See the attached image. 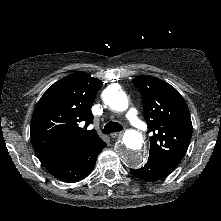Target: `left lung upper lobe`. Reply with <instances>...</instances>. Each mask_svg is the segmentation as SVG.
Returning a JSON list of instances; mask_svg holds the SVG:
<instances>
[{
  "mask_svg": "<svg viewBox=\"0 0 221 221\" xmlns=\"http://www.w3.org/2000/svg\"><path fill=\"white\" fill-rule=\"evenodd\" d=\"M133 83L142 97L148 131L153 133L149 158L170 173L185 155L192 135L187 104L173 86L158 78L138 76Z\"/></svg>",
  "mask_w": 221,
  "mask_h": 221,
  "instance_id": "obj_1",
  "label": "left lung upper lobe"
}]
</instances>
